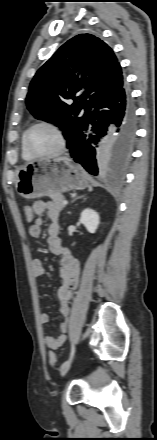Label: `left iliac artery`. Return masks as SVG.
I'll return each instance as SVG.
<instances>
[{
  "instance_id": "left-iliac-artery-1",
  "label": "left iliac artery",
  "mask_w": 157,
  "mask_h": 440,
  "mask_svg": "<svg viewBox=\"0 0 157 440\" xmlns=\"http://www.w3.org/2000/svg\"><path fill=\"white\" fill-rule=\"evenodd\" d=\"M73 356H74V348H72V351H71V354H70V358L68 360L69 362L72 361Z\"/></svg>"
}]
</instances>
